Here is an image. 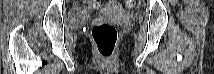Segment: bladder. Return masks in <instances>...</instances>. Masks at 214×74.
Here are the masks:
<instances>
[{"label":"bladder","instance_id":"bladder-1","mask_svg":"<svg viewBox=\"0 0 214 74\" xmlns=\"http://www.w3.org/2000/svg\"><path fill=\"white\" fill-rule=\"evenodd\" d=\"M88 17L89 14L82 9H74L69 15V19L71 22H82Z\"/></svg>","mask_w":214,"mask_h":74}]
</instances>
